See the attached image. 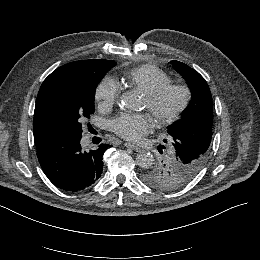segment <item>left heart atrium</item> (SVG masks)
Instances as JSON below:
<instances>
[{
	"instance_id": "obj_1",
	"label": "left heart atrium",
	"mask_w": 260,
	"mask_h": 260,
	"mask_svg": "<svg viewBox=\"0 0 260 260\" xmlns=\"http://www.w3.org/2000/svg\"><path fill=\"white\" fill-rule=\"evenodd\" d=\"M154 127L150 114L123 113L112 122V130L119 136L130 141H138Z\"/></svg>"
}]
</instances>
